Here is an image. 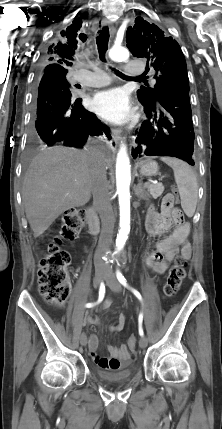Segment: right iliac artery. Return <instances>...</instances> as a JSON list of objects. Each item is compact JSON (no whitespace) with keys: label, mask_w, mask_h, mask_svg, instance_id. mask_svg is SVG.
Returning <instances> with one entry per match:
<instances>
[{"label":"right iliac artery","mask_w":222,"mask_h":429,"mask_svg":"<svg viewBox=\"0 0 222 429\" xmlns=\"http://www.w3.org/2000/svg\"><path fill=\"white\" fill-rule=\"evenodd\" d=\"M104 294H105V286L104 284H101L100 288H99V299L96 303H87L85 306L86 308H91L93 306H95L97 303L101 302L104 298Z\"/></svg>","instance_id":"82829eb1"}]
</instances>
